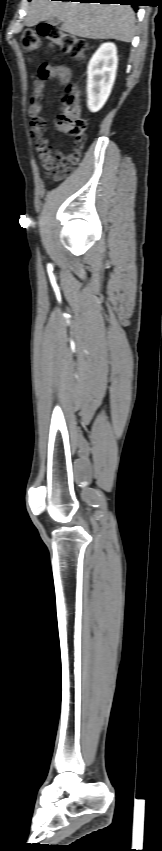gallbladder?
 Listing matches in <instances>:
<instances>
[{"label":"gallbladder","instance_id":"1","mask_svg":"<svg viewBox=\"0 0 162 851\" xmlns=\"http://www.w3.org/2000/svg\"><path fill=\"white\" fill-rule=\"evenodd\" d=\"M47 22L51 25H58V24H60L61 21L57 17H53V18L48 19Z\"/></svg>","mask_w":162,"mask_h":851}]
</instances>
